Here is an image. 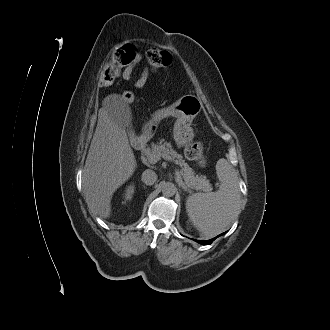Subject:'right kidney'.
Here are the masks:
<instances>
[{"label": "right kidney", "instance_id": "1", "mask_svg": "<svg viewBox=\"0 0 330 330\" xmlns=\"http://www.w3.org/2000/svg\"><path fill=\"white\" fill-rule=\"evenodd\" d=\"M134 191H135V186L133 184L127 186L124 193V198L126 201H130L132 199Z\"/></svg>", "mask_w": 330, "mask_h": 330}]
</instances>
